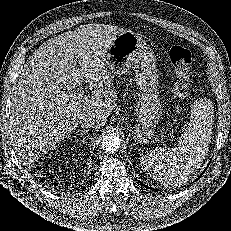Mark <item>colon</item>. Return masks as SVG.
Masks as SVG:
<instances>
[{"label": "colon", "instance_id": "5ec220e1", "mask_svg": "<svg viewBox=\"0 0 231 231\" xmlns=\"http://www.w3.org/2000/svg\"><path fill=\"white\" fill-rule=\"evenodd\" d=\"M169 59L176 76L175 94L178 98H186L191 89V52L181 46H174L169 51Z\"/></svg>", "mask_w": 231, "mask_h": 231}]
</instances>
